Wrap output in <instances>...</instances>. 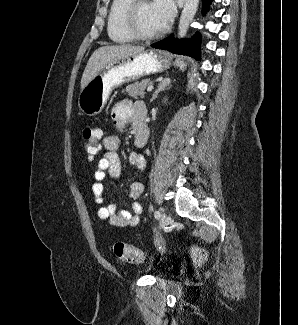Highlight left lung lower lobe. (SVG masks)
I'll list each match as a JSON object with an SVG mask.
<instances>
[{
	"label": "left lung lower lobe",
	"mask_w": 298,
	"mask_h": 325,
	"mask_svg": "<svg viewBox=\"0 0 298 325\" xmlns=\"http://www.w3.org/2000/svg\"><path fill=\"white\" fill-rule=\"evenodd\" d=\"M212 0H203V13H205ZM153 48L169 50L170 52L191 56L200 59V34L196 33L193 38L177 40L171 35L157 43L151 45Z\"/></svg>",
	"instance_id": "left-lung-lower-lobe-1"
}]
</instances>
